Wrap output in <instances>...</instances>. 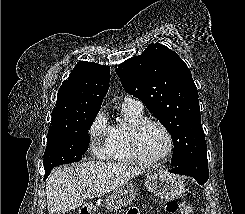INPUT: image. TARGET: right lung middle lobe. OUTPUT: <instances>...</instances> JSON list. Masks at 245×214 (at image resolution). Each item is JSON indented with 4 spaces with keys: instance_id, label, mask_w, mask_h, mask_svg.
I'll use <instances>...</instances> for the list:
<instances>
[{
    "instance_id": "right-lung-middle-lobe-1",
    "label": "right lung middle lobe",
    "mask_w": 245,
    "mask_h": 214,
    "mask_svg": "<svg viewBox=\"0 0 245 214\" xmlns=\"http://www.w3.org/2000/svg\"><path fill=\"white\" fill-rule=\"evenodd\" d=\"M97 112L81 115L72 127L48 135L47 146L44 153V178L51 170L59 165L80 161L89 145L90 129Z\"/></svg>"
}]
</instances>
